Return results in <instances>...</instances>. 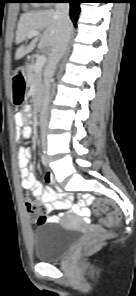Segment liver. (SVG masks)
Returning <instances> with one entry per match:
<instances>
[{
  "instance_id": "6515ba94",
  "label": "liver",
  "mask_w": 136,
  "mask_h": 296,
  "mask_svg": "<svg viewBox=\"0 0 136 296\" xmlns=\"http://www.w3.org/2000/svg\"><path fill=\"white\" fill-rule=\"evenodd\" d=\"M54 9L31 11L24 13L19 20L16 31V43H22L30 31L43 32L39 40V47H51L57 41L60 29V21ZM38 38L33 39L27 46L21 45L17 48L15 59L19 60L31 52L35 47Z\"/></svg>"
}]
</instances>
